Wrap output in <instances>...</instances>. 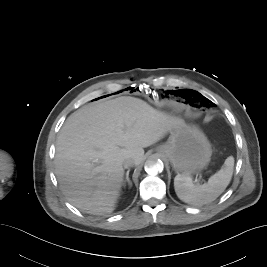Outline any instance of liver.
<instances>
[{"label":"liver","instance_id":"obj_1","mask_svg":"<svg viewBox=\"0 0 267 267\" xmlns=\"http://www.w3.org/2000/svg\"><path fill=\"white\" fill-rule=\"evenodd\" d=\"M184 125V120L134 97L83 106L67 118L57 139L55 173L63 194L87 213L113 212L123 182L124 159L139 165L145 147Z\"/></svg>","mask_w":267,"mask_h":267}]
</instances>
